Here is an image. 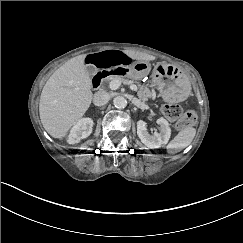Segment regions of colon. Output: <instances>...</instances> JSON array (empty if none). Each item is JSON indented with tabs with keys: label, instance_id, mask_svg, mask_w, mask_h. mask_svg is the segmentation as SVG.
<instances>
[{
	"label": "colon",
	"instance_id": "colon-1",
	"mask_svg": "<svg viewBox=\"0 0 243 243\" xmlns=\"http://www.w3.org/2000/svg\"><path fill=\"white\" fill-rule=\"evenodd\" d=\"M162 112L169 120H178L177 127L183 129L192 126L196 122V114L190 110L183 112L181 106L175 103H169L163 106Z\"/></svg>",
	"mask_w": 243,
	"mask_h": 243
}]
</instances>
